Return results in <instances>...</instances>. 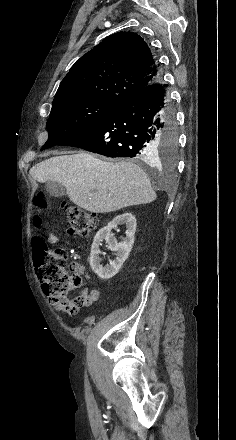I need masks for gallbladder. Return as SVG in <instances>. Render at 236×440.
I'll list each match as a JSON object with an SVG mask.
<instances>
[{"instance_id": "gallbladder-1", "label": "gallbladder", "mask_w": 236, "mask_h": 440, "mask_svg": "<svg viewBox=\"0 0 236 440\" xmlns=\"http://www.w3.org/2000/svg\"><path fill=\"white\" fill-rule=\"evenodd\" d=\"M46 190L51 196L56 198L62 197L66 194V188L62 184L54 181L47 182Z\"/></svg>"}]
</instances>
